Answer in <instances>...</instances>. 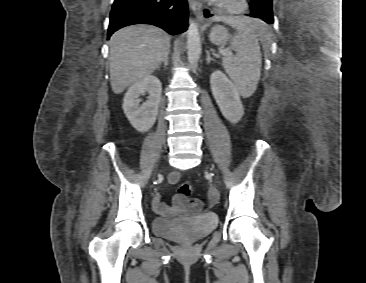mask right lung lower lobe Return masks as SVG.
Here are the masks:
<instances>
[{
  "label": "right lung lower lobe",
  "instance_id": "1",
  "mask_svg": "<svg viewBox=\"0 0 366 283\" xmlns=\"http://www.w3.org/2000/svg\"><path fill=\"white\" fill-rule=\"evenodd\" d=\"M187 0H114L108 38L118 29L133 24H152L170 34L188 27Z\"/></svg>",
  "mask_w": 366,
  "mask_h": 283
}]
</instances>
